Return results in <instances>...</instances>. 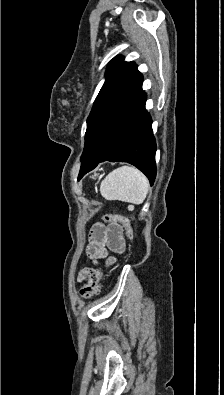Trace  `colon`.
I'll list each match as a JSON object with an SVG mask.
<instances>
[{"instance_id":"1","label":"colon","mask_w":224,"mask_h":395,"mask_svg":"<svg viewBox=\"0 0 224 395\" xmlns=\"http://www.w3.org/2000/svg\"><path fill=\"white\" fill-rule=\"evenodd\" d=\"M104 220L109 223L110 228L114 232H117L118 228L124 227L126 238L131 239L132 231L129 226V221L125 217L117 214H105ZM101 277L102 270L100 268H89L87 271V281L81 286L79 291L80 295L86 299L95 296L98 292Z\"/></svg>"}]
</instances>
